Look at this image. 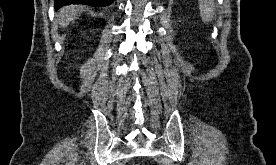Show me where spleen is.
Here are the masks:
<instances>
[{"label": "spleen", "instance_id": "3e777b00", "mask_svg": "<svg viewBox=\"0 0 276 165\" xmlns=\"http://www.w3.org/2000/svg\"><path fill=\"white\" fill-rule=\"evenodd\" d=\"M199 10L202 20L205 23L212 21L215 16V3L214 0H198Z\"/></svg>", "mask_w": 276, "mask_h": 165}]
</instances>
